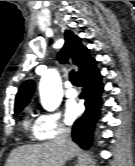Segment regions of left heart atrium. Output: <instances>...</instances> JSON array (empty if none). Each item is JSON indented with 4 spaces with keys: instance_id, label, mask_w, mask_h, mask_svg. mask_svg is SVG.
Here are the masks:
<instances>
[{
    "instance_id": "left-heart-atrium-1",
    "label": "left heart atrium",
    "mask_w": 135,
    "mask_h": 166,
    "mask_svg": "<svg viewBox=\"0 0 135 166\" xmlns=\"http://www.w3.org/2000/svg\"><path fill=\"white\" fill-rule=\"evenodd\" d=\"M78 115V108L75 105H70L67 108L66 118L68 122H72Z\"/></svg>"
}]
</instances>
